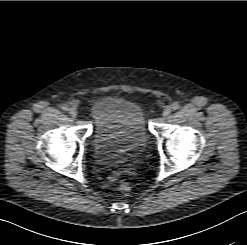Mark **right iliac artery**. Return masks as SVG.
Instances as JSON below:
<instances>
[{
	"mask_svg": "<svg viewBox=\"0 0 247 245\" xmlns=\"http://www.w3.org/2000/svg\"><path fill=\"white\" fill-rule=\"evenodd\" d=\"M62 109H63V111H68L69 110V106L67 104H64L62 106Z\"/></svg>",
	"mask_w": 247,
	"mask_h": 245,
	"instance_id": "1",
	"label": "right iliac artery"
}]
</instances>
